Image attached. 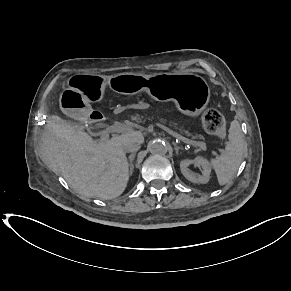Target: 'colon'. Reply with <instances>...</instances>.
<instances>
[{
    "label": "colon",
    "instance_id": "5ec220e1",
    "mask_svg": "<svg viewBox=\"0 0 291 291\" xmlns=\"http://www.w3.org/2000/svg\"><path fill=\"white\" fill-rule=\"evenodd\" d=\"M203 126L205 130L211 134L219 137L225 135V118L224 115L217 108H209L203 118Z\"/></svg>",
    "mask_w": 291,
    "mask_h": 291
}]
</instances>
